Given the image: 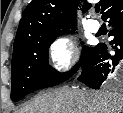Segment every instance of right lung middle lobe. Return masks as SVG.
Wrapping results in <instances>:
<instances>
[{
	"instance_id": "obj_1",
	"label": "right lung middle lobe",
	"mask_w": 123,
	"mask_h": 113,
	"mask_svg": "<svg viewBox=\"0 0 123 113\" xmlns=\"http://www.w3.org/2000/svg\"><path fill=\"white\" fill-rule=\"evenodd\" d=\"M70 30L63 33H69ZM57 34H50L35 40L27 41L13 49L11 65V99L19 101L31 92L60 84L69 79L79 68L76 65L67 73H58L48 65V48ZM93 48L84 47L80 59L83 68Z\"/></svg>"
}]
</instances>
